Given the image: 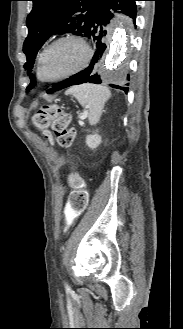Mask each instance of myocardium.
Returning a JSON list of instances; mask_svg holds the SVG:
<instances>
[{"label":"myocardium","mask_w":183,"mask_h":329,"mask_svg":"<svg viewBox=\"0 0 183 329\" xmlns=\"http://www.w3.org/2000/svg\"><path fill=\"white\" fill-rule=\"evenodd\" d=\"M65 40H76L78 41L84 48L85 50V58L82 62V64L77 67L76 69L70 71V72H67L63 75H60L58 77H55V78H48V77H45L44 75V72H43V63H44V59H45V56L47 54V52L53 47L55 46L56 44L62 42V41H65ZM92 56H93V51L90 47V45L88 44V42L81 36L79 35H75V34H66V35H63L61 37H58L56 38L55 40H53L52 42H50L42 51L40 57H39V62H38V73H39V77L42 81H45V82H57V81H62V80H65L79 72H81L82 70H84L90 63L91 59H92Z\"/></svg>","instance_id":"1"}]
</instances>
